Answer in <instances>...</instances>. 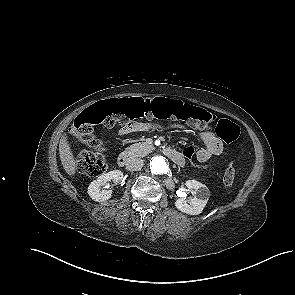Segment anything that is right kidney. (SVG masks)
I'll return each mask as SVG.
<instances>
[{
    "label": "right kidney",
    "mask_w": 295,
    "mask_h": 295,
    "mask_svg": "<svg viewBox=\"0 0 295 295\" xmlns=\"http://www.w3.org/2000/svg\"><path fill=\"white\" fill-rule=\"evenodd\" d=\"M112 181L114 185H118L123 181V173L120 170H113L100 175L96 180L90 183L88 187L89 196L97 202L108 200L112 196L111 189H102Z\"/></svg>",
    "instance_id": "right-kidney-1"
}]
</instances>
